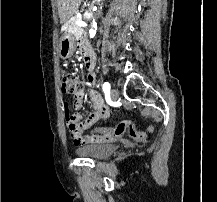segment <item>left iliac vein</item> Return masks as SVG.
Instances as JSON below:
<instances>
[{"mask_svg": "<svg viewBox=\"0 0 217 202\" xmlns=\"http://www.w3.org/2000/svg\"><path fill=\"white\" fill-rule=\"evenodd\" d=\"M110 96H111V99L113 100V101H116L117 99H118V96H119V92H118V90L117 89H111V91H110Z\"/></svg>", "mask_w": 217, "mask_h": 202, "instance_id": "4c4485c4", "label": "left iliac vein"}]
</instances>
